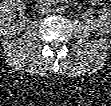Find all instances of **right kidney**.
Masks as SVG:
<instances>
[{
    "instance_id": "1",
    "label": "right kidney",
    "mask_w": 111,
    "mask_h": 106,
    "mask_svg": "<svg viewBox=\"0 0 111 106\" xmlns=\"http://www.w3.org/2000/svg\"><path fill=\"white\" fill-rule=\"evenodd\" d=\"M25 3L20 0H4L0 3V32L3 36H13L23 30L25 20H15L13 13L16 9H25Z\"/></svg>"
}]
</instances>
